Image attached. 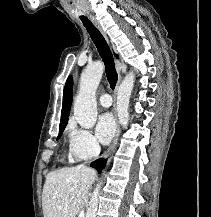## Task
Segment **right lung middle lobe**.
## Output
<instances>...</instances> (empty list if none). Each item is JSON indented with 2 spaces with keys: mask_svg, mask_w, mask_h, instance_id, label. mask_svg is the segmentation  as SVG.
I'll use <instances>...</instances> for the list:
<instances>
[{
  "mask_svg": "<svg viewBox=\"0 0 211 217\" xmlns=\"http://www.w3.org/2000/svg\"><path fill=\"white\" fill-rule=\"evenodd\" d=\"M63 130H64V127L59 129V135H58L57 139L61 137Z\"/></svg>",
  "mask_w": 211,
  "mask_h": 217,
  "instance_id": "1",
  "label": "right lung middle lobe"
}]
</instances>
